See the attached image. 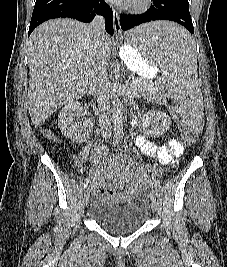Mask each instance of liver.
Returning <instances> with one entry per match:
<instances>
[{
  "label": "liver",
  "instance_id": "obj_1",
  "mask_svg": "<svg viewBox=\"0 0 227 267\" xmlns=\"http://www.w3.org/2000/svg\"><path fill=\"white\" fill-rule=\"evenodd\" d=\"M107 59L112 41L105 35ZM88 25L72 19L46 21L31 34L28 46V109L35 127L61 106L87 92L96 58Z\"/></svg>",
  "mask_w": 227,
  "mask_h": 267
}]
</instances>
